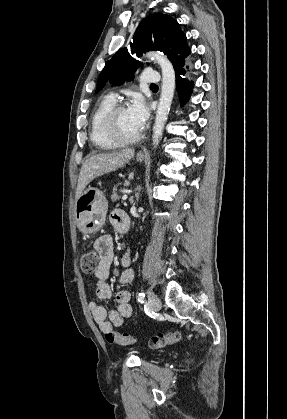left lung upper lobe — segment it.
<instances>
[{
  "instance_id": "1",
  "label": "left lung upper lobe",
  "mask_w": 287,
  "mask_h": 419,
  "mask_svg": "<svg viewBox=\"0 0 287 419\" xmlns=\"http://www.w3.org/2000/svg\"><path fill=\"white\" fill-rule=\"evenodd\" d=\"M131 48L132 54L141 55L150 50L162 51L176 70L184 66V58L190 54L187 39L178 22L171 16L156 13L146 17L138 26ZM140 62L133 59L127 49L117 51L101 72L96 93L108 83L122 84L133 76Z\"/></svg>"
}]
</instances>
